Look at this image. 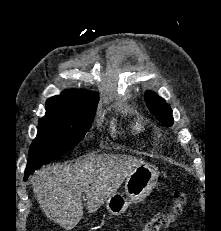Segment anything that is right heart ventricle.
<instances>
[{
	"instance_id": "1",
	"label": "right heart ventricle",
	"mask_w": 221,
	"mask_h": 231,
	"mask_svg": "<svg viewBox=\"0 0 221 231\" xmlns=\"http://www.w3.org/2000/svg\"><path fill=\"white\" fill-rule=\"evenodd\" d=\"M132 128L138 134L143 133L145 131V126L141 121H135L132 124Z\"/></svg>"
}]
</instances>
